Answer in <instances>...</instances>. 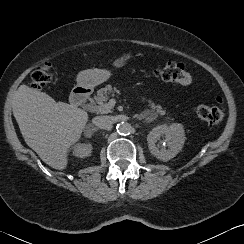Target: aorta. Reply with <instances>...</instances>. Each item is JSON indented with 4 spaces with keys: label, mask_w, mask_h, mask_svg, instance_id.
Instances as JSON below:
<instances>
[{
    "label": "aorta",
    "mask_w": 244,
    "mask_h": 244,
    "mask_svg": "<svg viewBox=\"0 0 244 244\" xmlns=\"http://www.w3.org/2000/svg\"><path fill=\"white\" fill-rule=\"evenodd\" d=\"M116 130L120 135H129L132 131V127L127 122H121L117 124Z\"/></svg>",
    "instance_id": "762f6f07"
}]
</instances>
